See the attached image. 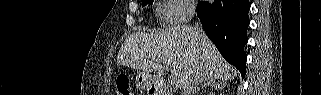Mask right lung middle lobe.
<instances>
[{"instance_id": "right-lung-middle-lobe-1", "label": "right lung middle lobe", "mask_w": 321, "mask_h": 95, "mask_svg": "<svg viewBox=\"0 0 321 95\" xmlns=\"http://www.w3.org/2000/svg\"><path fill=\"white\" fill-rule=\"evenodd\" d=\"M148 3L153 4V0H142V6H146Z\"/></svg>"}]
</instances>
